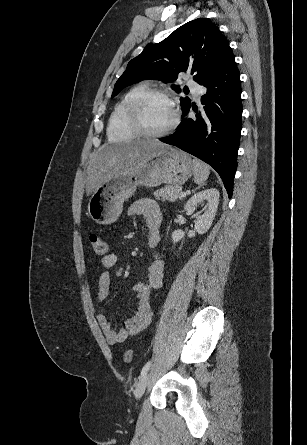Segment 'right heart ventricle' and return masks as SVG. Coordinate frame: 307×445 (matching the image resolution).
I'll list each match as a JSON object with an SVG mask.
<instances>
[{"mask_svg":"<svg viewBox=\"0 0 307 445\" xmlns=\"http://www.w3.org/2000/svg\"><path fill=\"white\" fill-rule=\"evenodd\" d=\"M145 84L132 88L113 109L108 124L107 134L111 140H138V132L132 121V108L135 102L147 91Z\"/></svg>","mask_w":307,"mask_h":445,"instance_id":"1","label":"right heart ventricle"}]
</instances>
